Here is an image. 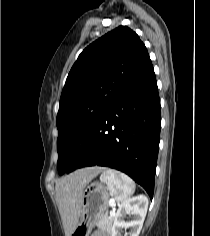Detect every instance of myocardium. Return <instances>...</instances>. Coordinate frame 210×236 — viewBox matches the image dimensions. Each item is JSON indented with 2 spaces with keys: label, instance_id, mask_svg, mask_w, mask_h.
<instances>
[{
  "label": "myocardium",
  "instance_id": "myocardium-1",
  "mask_svg": "<svg viewBox=\"0 0 210 236\" xmlns=\"http://www.w3.org/2000/svg\"><path fill=\"white\" fill-rule=\"evenodd\" d=\"M81 142H82V138H78L77 141H76L77 144H79Z\"/></svg>",
  "mask_w": 210,
  "mask_h": 236
}]
</instances>
